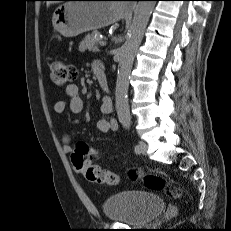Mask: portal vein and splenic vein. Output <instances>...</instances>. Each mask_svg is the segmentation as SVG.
<instances>
[{"instance_id": "portal-vein-and-splenic-vein-1", "label": "portal vein and splenic vein", "mask_w": 231, "mask_h": 231, "mask_svg": "<svg viewBox=\"0 0 231 231\" xmlns=\"http://www.w3.org/2000/svg\"><path fill=\"white\" fill-rule=\"evenodd\" d=\"M99 45H100V46H105V45H106V41H105V40L101 41V42L99 43Z\"/></svg>"}]
</instances>
